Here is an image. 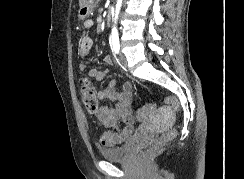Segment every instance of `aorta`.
<instances>
[{
  "instance_id": "aorta-1",
  "label": "aorta",
  "mask_w": 244,
  "mask_h": 179,
  "mask_svg": "<svg viewBox=\"0 0 244 179\" xmlns=\"http://www.w3.org/2000/svg\"><path fill=\"white\" fill-rule=\"evenodd\" d=\"M122 2H123V0H117V2H116V8H115V14H114V16H115V18H114L115 24H116V22L118 20V16H119L120 8L122 6ZM113 30H116V28H113Z\"/></svg>"
}]
</instances>
